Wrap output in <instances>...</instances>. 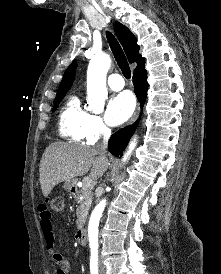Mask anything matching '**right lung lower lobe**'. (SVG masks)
<instances>
[{
	"label": "right lung lower lobe",
	"instance_id": "right-lung-lower-lobe-1",
	"mask_svg": "<svg viewBox=\"0 0 221 274\" xmlns=\"http://www.w3.org/2000/svg\"><path fill=\"white\" fill-rule=\"evenodd\" d=\"M133 83H134V91L137 96V99L141 102V108L144 105L147 95L148 83H147V71L142 69L141 71H137L133 75ZM138 125V121H136L133 125L126 127L124 129H120L116 133H114L109 142L108 148L110 153L117 157L122 156L123 150L126 148L132 134L134 133L136 127Z\"/></svg>",
	"mask_w": 221,
	"mask_h": 274
}]
</instances>
